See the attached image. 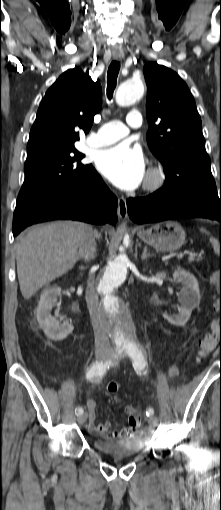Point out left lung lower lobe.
Here are the masks:
<instances>
[{
  "label": "left lung lower lobe",
  "instance_id": "1",
  "mask_svg": "<svg viewBox=\"0 0 221 510\" xmlns=\"http://www.w3.org/2000/svg\"><path fill=\"white\" fill-rule=\"evenodd\" d=\"M128 214L138 223L159 222L184 217H201L220 221L221 195L188 193L165 195L156 191L144 198L127 200Z\"/></svg>",
  "mask_w": 221,
  "mask_h": 510
}]
</instances>
